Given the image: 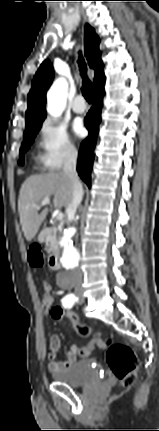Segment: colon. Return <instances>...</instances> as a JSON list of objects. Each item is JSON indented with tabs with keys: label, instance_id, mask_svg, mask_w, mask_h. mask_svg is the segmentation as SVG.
Here are the masks:
<instances>
[{
	"label": "colon",
	"instance_id": "colon-1",
	"mask_svg": "<svg viewBox=\"0 0 159 431\" xmlns=\"http://www.w3.org/2000/svg\"><path fill=\"white\" fill-rule=\"evenodd\" d=\"M29 261L33 266H40L43 263V255L38 247H33L29 252ZM55 298L49 295L46 298V305L52 308L51 320L59 324L74 325L77 333L84 338L96 336L91 328L79 322L81 314L76 309H67L60 301L54 302ZM91 344H85V348L78 349L80 359H89L94 349H106V361L114 377L124 386H131L136 378V371L139 366V359L135 351L125 343L107 344L98 337L91 338ZM96 343V344H95Z\"/></svg>",
	"mask_w": 159,
	"mask_h": 431
}]
</instances>
